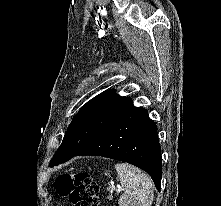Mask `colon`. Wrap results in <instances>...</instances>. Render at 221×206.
Returning a JSON list of instances; mask_svg holds the SVG:
<instances>
[{
	"label": "colon",
	"mask_w": 221,
	"mask_h": 206,
	"mask_svg": "<svg viewBox=\"0 0 221 206\" xmlns=\"http://www.w3.org/2000/svg\"><path fill=\"white\" fill-rule=\"evenodd\" d=\"M54 187L58 194L68 198L72 206H99V186L86 172L61 174Z\"/></svg>",
	"instance_id": "colon-1"
}]
</instances>
